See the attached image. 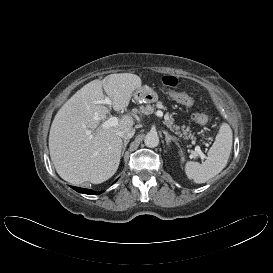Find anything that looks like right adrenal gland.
<instances>
[{
	"mask_svg": "<svg viewBox=\"0 0 273 273\" xmlns=\"http://www.w3.org/2000/svg\"><path fill=\"white\" fill-rule=\"evenodd\" d=\"M129 143V140H124L123 145H122V153H121V157H123V154L126 150L127 144Z\"/></svg>",
	"mask_w": 273,
	"mask_h": 273,
	"instance_id": "right-adrenal-gland-1",
	"label": "right adrenal gland"
}]
</instances>
